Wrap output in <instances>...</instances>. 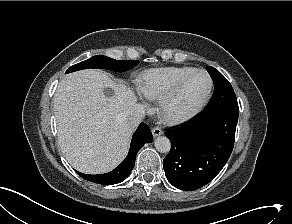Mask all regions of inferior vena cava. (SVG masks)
Listing matches in <instances>:
<instances>
[{
    "mask_svg": "<svg viewBox=\"0 0 292 224\" xmlns=\"http://www.w3.org/2000/svg\"><path fill=\"white\" fill-rule=\"evenodd\" d=\"M145 116V108L142 104L135 103L127 113V119L131 126L136 127Z\"/></svg>",
    "mask_w": 292,
    "mask_h": 224,
    "instance_id": "602c4592",
    "label": "inferior vena cava"
}]
</instances>
